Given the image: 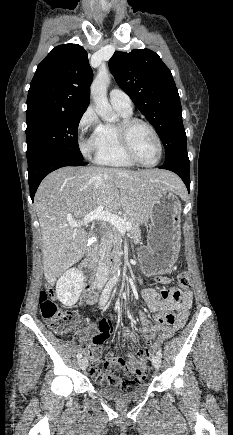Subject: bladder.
<instances>
[{"label": "bladder", "instance_id": "31cf9c89", "mask_svg": "<svg viewBox=\"0 0 233 435\" xmlns=\"http://www.w3.org/2000/svg\"><path fill=\"white\" fill-rule=\"evenodd\" d=\"M97 389L108 399L114 401H126L141 396L147 390V385L139 384L133 390L127 392L121 390L114 384H99Z\"/></svg>", "mask_w": 233, "mask_h": 435}]
</instances>
